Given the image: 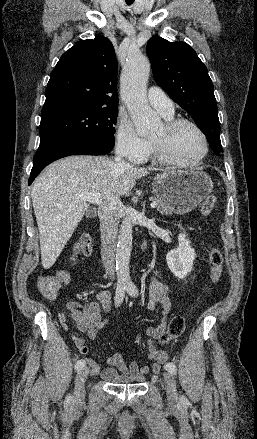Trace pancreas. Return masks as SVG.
I'll list each match as a JSON object with an SVG mask.
<instances>
[{
    "label": "pancreas",
    "instance_id": "obj_1",
    "mask_svg": "<svg viewBox=\"0 0 257 439\" xmlns=\"http://www.w3.org/2000/svg\"><path fill=\"white\" fill-rule=\"evenodd\" d=\"M153 200L159 204L157 207V211L159 213L166 215H170L173 213V209L162 199L157 197V198H153Z\"/></svg>",
    "mask_w": 257,
    "mask_h": 439
}]
</instances>
